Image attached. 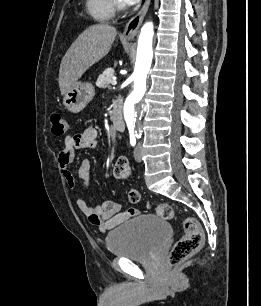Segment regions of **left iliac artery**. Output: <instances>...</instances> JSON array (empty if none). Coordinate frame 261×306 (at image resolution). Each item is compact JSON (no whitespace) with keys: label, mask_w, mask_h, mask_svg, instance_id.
<instances>
[{"label":"left iliac artery","mask_w":261,"mask_h":306,"mask_svg":"<svg viewBox=\"0 0 261 306\" xmlns=\"http://www.w3.org/2000/svg\"><path fill=\"white\" fill-rule=\"evenodd\" d=\"M136 137L137 138H140V135H137L136 134ZM130 144L132 145V146H135V144H136V139H135V136L132 134V135H130Z\"/></svg>","instance_id":"44dca946"}]
</instances>
